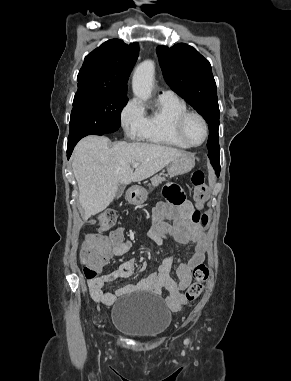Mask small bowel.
I'll return each mask as SVG.
<instances>
[{"label":"small bowel","instance_id":"c3829d8e","mask_svg":"<svg viewBox=\"0 0 291 381\" xmlns=\"http://www.w3.org/2000/svg\"><path fill=\"white\" fill-rule=\"evenodd\" d=\"M167 195L169 198L175 196L179 202L157 204L153 211V226L148 236L158 246H163L168 238L181 244H193V251L189 259L186 262H180L176 268L178 281H175L170 275L173 265V257L170 256L162 262L158 271L149 277L135 284L120 287L114 294L104 291L103 287L106 283L132 275L135 261L128 259L118 269L88 279L89 292L95 302L110 306L116 296L139 291L160 295L162 290H165L168 293L165 302L170 310L178 311L185 304L184 292L191 284L192 269L204 260L207 240L203 233L192 225L193 207L189 202L183 200L180 190L169 188ZM132 246V240L125 239V230L122 227L115 228L108 235L89 233L85 236L83 245V247H91L96 251L105 252L109 257L124 255L132 249Z\"/></svg>","mask_w":291,"mask_h":381}]
</instances>
